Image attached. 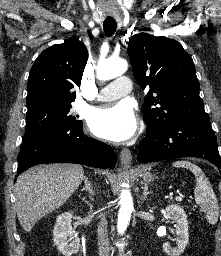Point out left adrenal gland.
Instances as JSON below:
<instances>
[{
  "mask_svg": "<svg viewBox=\"0 0 221 256\" xmlns=\"http://www.w3.org/2000/svg\"><path fill=\"white\" fill-rule=\"evenodd\" d=\"M142 194H143V195H142V198H141V199H142L143 201L146 200V198H147L148 195L152 194L151 191H148V184H147V183L144 184V188H143V193H142Z\"/></svg>",
  "mask_w": 221,
  "mask_h": 256,
  "instance_id": "a2214340",
  "label": "left adrenal gland"
}]
</instances>
